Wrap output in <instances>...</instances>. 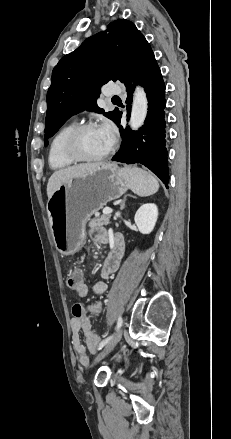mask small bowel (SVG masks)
Segmentation results:
<instances>
[{"label": "small bowel", "instance_id": "c3829d8e", "mask_svg": "<svg viewBox=\"0 0 231 439\" xmlns=\"http://www.w3.org/2000/svg\"><path fill=\"white\" fill-rule=\"evenodd\" d=\"M90 237L96 244L105 243L108 240L110 241L109 253L101 269V276L105 279L109 278L119 267L124 252V239L121 234H115L109 238L107 231L98 227L91 229ZM75 289L79 298H88L91 286L89 283H76ZM106 289L107 285L103 281L96 283L94 286L96 295H102ZM102 309L101 301H96L90 305L75 304L72 308V345L80 363L83 365L89 364L88 351L95 353L96 347L100 342V337L92 330L90 316L100 314ZM80 332L85 336L86 346L81 341Z\"/></svg>", "mask_w": 231, "mask_h": 439}]
</instances>
